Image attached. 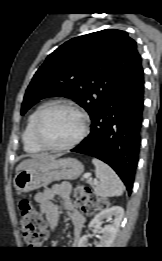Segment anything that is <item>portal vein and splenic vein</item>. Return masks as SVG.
Here are the masks:
<instances>
[{
    "label": "portal vein and splenic vein",
    "instance_id": "1",
    "mask_svg": "<svg viewBox=\"0 0 162 261\" xmlns=\"http://www.w3.org/2000/svg\"><path fill=\"white\" fill-rule=\"evenodd\" d=\"M90 176H91V174L90 173H86V174H84V178L85 179H88V181L90 182V184H97V181L96 180H92L91 178H90Z\"/></svg>",
    "mask_w": 162,
    "mask_h": 261
}]
</instances>
